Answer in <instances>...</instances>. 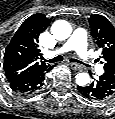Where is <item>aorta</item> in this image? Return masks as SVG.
I'll return each mask as SVG.
<instances>
[{"label":"aorta","instance_id":"1","mask_svg":"<svg viewBox=\"0 0 115 119\" xmlns=\"http://www.w3.org/2000/svg\"><path fill=\"white\" fill-rule=\"evenodd\" d=\"M51 32L56 39L65 40L70 37L72 28L68 22L59 20L53 23ZM75 78L76 83L79 86H86L90 82V76L85 72L77 73Z\"/></svg>","mask_w":115,"mask_h":119}]
</instances>
